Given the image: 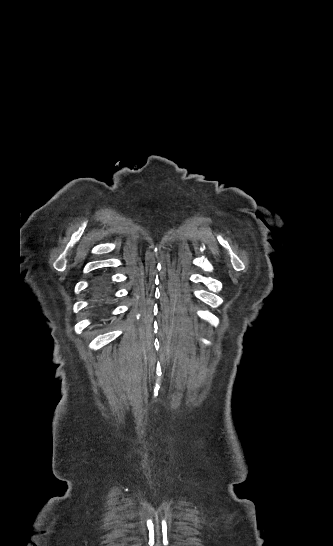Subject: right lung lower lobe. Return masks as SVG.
<instances>
[{"mask_svg":"<svg viewBox=\"0 0 333 546\" xmlns=\"http://www.w3.org/2000/svg\"><path fill=\"white\" fill-rule=\"evenodd\" d=\"M92 292L93 307L99 311V316H103L111 300L109 297V285L104 279H99L93 285Z\"/></svg>","mask_w":333,"mask_h":546,"instance_id":"98d812e1","label":"right lung lower lobe"}]
</instances>
